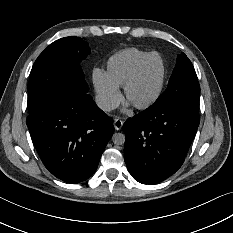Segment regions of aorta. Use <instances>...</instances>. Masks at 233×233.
<instances>
[{"instance_id":"aorta-1","label":"aorta","mask_w":233,"mask_h":233,"mask_svg":"<svg viewBox=\"0 0 233 233\" xmlns=\"http://www.w3.org/2000/svg\"><path fill=\"white\" fill-rule=\"evenodd\" d=\"M112 141L116 145H123L125 143V135L122 133H114Z\"/></svg>"}]
</instances>
